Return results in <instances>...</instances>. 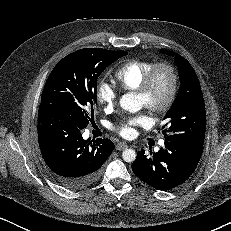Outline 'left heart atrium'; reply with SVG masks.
Segmentation results:
<instances>
[{
    "label": "left heart atrium",
    "instance_id": "39dd6f15",
    "mask_svg": "<svg viewBox=\"0 0 231 231\" xmlns=\"http://www.w3.org/2000/svg\"><path fill=\"white\" fill-rule=\"evenodd\" d=\"M150 124V118L147 114L140 113L130 117L119 124L114 129L125 138H131L136 134L137 127H147Z\"/></svg>",
    "mask_w": 231,
    "mask_h": 231
}]
</instances>
